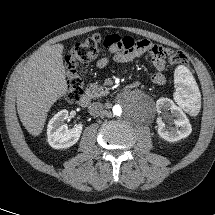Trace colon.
Segmentation results:
<instances>
[{
    "label": "colon",
    "mask_w": 215,
    "mask_h": 215,
    "mask_svg": "<svg viewBox=\"0 0 215 215\" xmlns=\"http://www.w3.org/2000/svg\"><path fill=\"white\" fill-rule=\"evenodd\" d=\"M103 48L104 39L98 34L92 35L73 46L65 59L67 69L65 99L67 102L75 103L83 94V76L79 71V65L96 57ZM163 52L173 65H184L187 62L186 56L181 52H172L168 49H164Z\"/></svg>",
    "instance_id": "obj_1"
}]
</instances>
